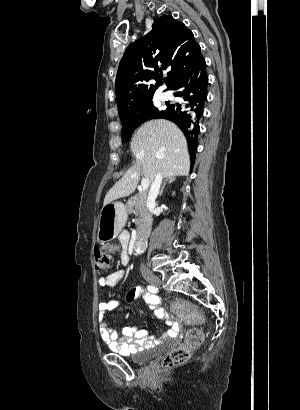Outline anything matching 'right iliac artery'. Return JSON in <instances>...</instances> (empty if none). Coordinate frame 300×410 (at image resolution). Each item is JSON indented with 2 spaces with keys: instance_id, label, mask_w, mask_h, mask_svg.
I'll return each mask as SVG.
<instances>
[{
  "instance_id": "1",
  "label": "right iliac artery",
  "mask_w": 300,
  "mask_h": 410,
  "mask_svg": "<svg viewBox=\"0 0 300 410\" xmlns=\"http://www.w3.org/2000/svg\"><path fill=\"white\" fill-rule=\"evenodd\" d=\"M147 289H148V291L151 292V293H157V292H158V288L155 287V286L149 285V286H147Z\"/></svg>"
}]
</instances>
